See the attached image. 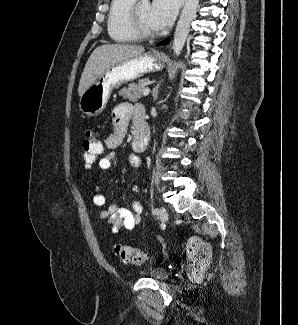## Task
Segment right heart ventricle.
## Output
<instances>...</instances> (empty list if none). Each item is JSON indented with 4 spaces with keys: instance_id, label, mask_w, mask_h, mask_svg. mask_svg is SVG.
Instances as JSON below:
<instances>
[{
    "instance_id": "e07e8e85",
    "label": "right heart ventricle",
    "mask_w": 298,
    "mask_h": 325,
    "mask_svg": "<svg viewBox=\"0 0 298 325\" xmlns=\"http://www.w3.org/2000/svg\"><path fill=\"white\" fill-rule=\"evenodd\" d=\"M130 0H115L111 3L107 17V33L113 41H131L136 40L125 29L124 18L126 8Z\"/></svg>"
}]
</instances>
